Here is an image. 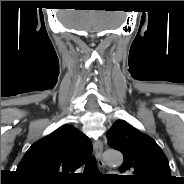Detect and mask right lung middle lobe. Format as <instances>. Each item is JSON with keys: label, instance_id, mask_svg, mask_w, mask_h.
<instances>
[{"label": "right lung middle lobe", "instance_id": "dd1d6c3e", "mask_svg": "<svg viewBox=\"0 0 184 184\" xmlns=\"http://www.w3.org/2000/svg\"><path fill=\"white\" fill-rule=\"evenodd\" d=\"M32 183H35V184H46V183H41V182H32Z\"/></svg>", "mask_w": 184, "mask_h": 184}]
</instances>
